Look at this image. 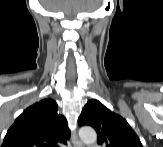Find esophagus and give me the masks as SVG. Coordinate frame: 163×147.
<instances>
[{
	"instance_id": "obj_1",
	"label": "esophagus",
	"mask_w": 163,
	"mask_h": 147,
	"mask_svg": "<svg viewBox=\"0 0 163 147\" xmlns=\"http://www.w3.org/2000/svg\"><path fill=\"white\" fill-rule=\"evenodd\" d=\"M73 145L75 147H83V143L79 141L77 138H75V140L73 141Z\"/></svg>"
}]
</instances>
